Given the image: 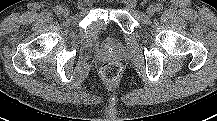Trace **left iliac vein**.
I'll use <instances>...</instances> for the list:
<instances>
[{
    "label": "left iliac vein",
    "instance_id": "left-iliac-vein-1",
    "mask_svg": "<svg viewBox=\"0 0 217 121\" xmlns=\"http://www.w3.org/2000/svg\"><path fill=\"white\" fill-rule=\"evenodd\" d=\"M155 11H156V9H155L154 6H149L148 9H147V15L148 16H153Z\"/></svg>",
    "mask_w": 217,
    "mask_h": 121
}]
</instances>
